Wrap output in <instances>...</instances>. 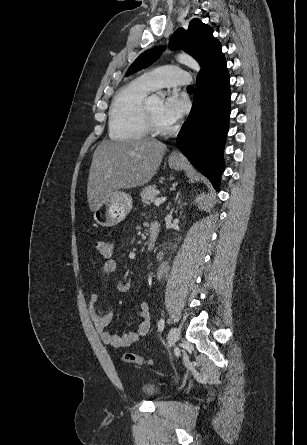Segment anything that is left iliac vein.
I'll list each match as a JSON object with an SVG mask.
<instances>
[{"label": "left iliac vein", "instance_id": "1", "mask_svg": "<svg viewBox=\"0 0 307 445\" xmlns=\"http://www.w3.org/2000/svg\"><path fill=\"white\" fill-rule=\"evenodd\" d=\"M180 335V330L176 327H172L168 333L167 346H173L179 340Z\"/></svg>", "mask_w": 307, "mask_h": 445}]
</instances>
